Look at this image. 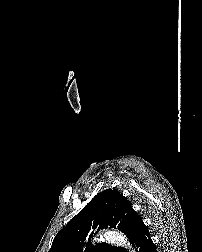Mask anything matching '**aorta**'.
Instances as JSON below:
<instances>
[{
    "label": "aorta",
    "instance_id": "obj_1",
    "mask_svg": "<svg viewBox=\"0 0 202 252\" xmlns=\"http://www.w3.org/2000/svg\"><path fill=\"white\" fill-rule=\"evenodd\" d=\"M100 238L108 243L116 244L118 246L126 247L128 245L127 238L118 231H106L100 236Z\"/></svg>",
    "mask_w": 202,
    "mask_h": 252
}]
</instances>
